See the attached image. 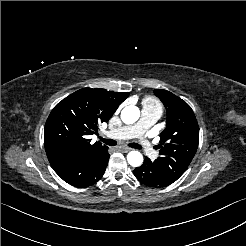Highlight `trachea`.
<instances>
[{
  "instance_id": "3493384b",
  "label": "trachea",
  "mask_w": 246,
  "mask_h": 246,
  "mask_svg": "<svg viewBox=\"0 0 246 246\" xmlns=\"http://www.w3.org/2000/svg\"><path fill=\"white\" fill-rule=\"evenodd\" d=\"M100 141H102L104 144L106 145H109V146H114L117 144V142L113 139H103V138H100ZM130 147H133V148H136V149H141V145L139 144H136V143H132L130 144Z\"/></svg>"
}]
</instances>
